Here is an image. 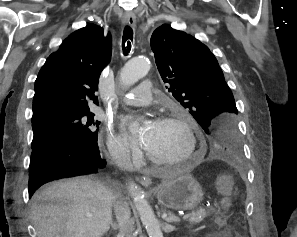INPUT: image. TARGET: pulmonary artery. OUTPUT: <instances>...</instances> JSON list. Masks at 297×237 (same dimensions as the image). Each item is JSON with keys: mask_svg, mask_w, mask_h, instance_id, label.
<instances>
[{"mask_svg": "<svg viewBox=\"0 0 297 237\" xmlns=\"http://www.w3.org/2000/svg\"><path fill=\"white\" fill-rule=\"evenodd\" d=\"M124 77H128V71L123 72ZM153 87L148 80L143 81L136 89L125 95L122 102L127 105L141 106L146 105L152 99Z\"/></svg>", "mask_w": 297, "mask_h": 237, "instance_id": "1", "label": "pulmonary artery"}]
</instances>
